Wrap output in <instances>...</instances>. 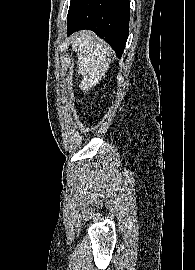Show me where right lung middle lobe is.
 <instances>
[{
  "mask_svg": "<svg viewBox=\"0 0 195 270\" xmlns=\"http://www.w3.org/2000/svg\"><path fill=\"white\" fill-rule=\"evenodd\" d=\"M74 0H71L70 4L73 2Z\"/></svg>",
  "mask_w": 195,
  "mask_h": 270,
  "instance_id": "1",
  "label": "right lung middle lobe"
}]
</instances>
